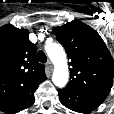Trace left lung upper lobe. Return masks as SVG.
<instances>
[{
	"label": "left lung upper lobe",
	"instance_id": "obj_1",
	"mask_svg": "<svg viewBox=\"0 0 114 114\" xmlns=\"http://www.w3.org/2000/svg\"><path fill=\"white\" fill-rule=\"evenodd\" d=\"M53 32L71 60L66 88L106 98L112 87L114 60L100 35L78 20L55 27Z\"/></svg>",
	"mask_w": 114,
	"mask_h": 114
}]
</instances>
